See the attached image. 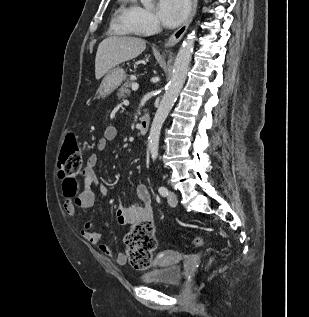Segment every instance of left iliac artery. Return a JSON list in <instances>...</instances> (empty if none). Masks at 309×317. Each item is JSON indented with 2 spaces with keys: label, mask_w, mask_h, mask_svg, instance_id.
Returning a JSON list of instances; mask_svg holds the SVG:
<instances>
[{
  "label": "left iliac artery",
  "mask_w": 309,
  "mask_h": 317,
  "mask_svg": "<svg viewBox=\"0 0 309 317\" xmlns=\"http://www.w3.org/2000/svg\"><path fill=\"white\" fill-rule=\"evenodd\" d=\"M158 192L160 193V195H162L163 197H166L168 195V190L166 187L164 186H160L158 188Z\"/></svg>",
  "instance_id": "44dca946"
}]
</instances>
